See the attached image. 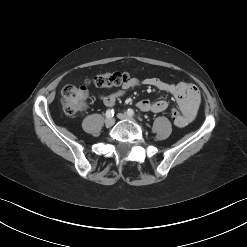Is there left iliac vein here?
Here are the masks:
<instances>
[{
    "mask_svg": "<svg viewBox=\"0 0 247 247\" xmlns=\"http://www.w3.org/2000/svg\"><path fill=\"white\" fill-rule=\"evenodd\" d=\"M118 118L121 119V120H133V118L129 115H127L126 113H119L118 115Z\"/></svg>",
    "mask_w": 247,
    "mask_h": 247,
    "instance_id": "obj_1",
    "label": "left iliac vein"
}]
</instances>
